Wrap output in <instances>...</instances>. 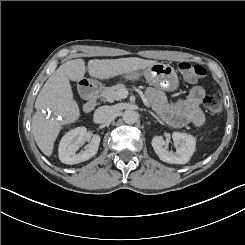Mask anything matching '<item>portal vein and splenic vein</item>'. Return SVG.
Listing matches in <instances>:
<instances>
[{"label":"portal vein and splenic vein","instance_id":"18ae733b","mask_svg":"<svg viewBox=\"0 0 245 245\" xmlns=\"http://www.w3.org/2000/svg\"><path fill=\"white\" fill-rule=\"evenodd\" d=\"M127 94H128V91H127V90H121V91H120V96H121L122 98L127 97Z\"/></svg>","mask_w":245,"mask_h":245}]
</instances>
